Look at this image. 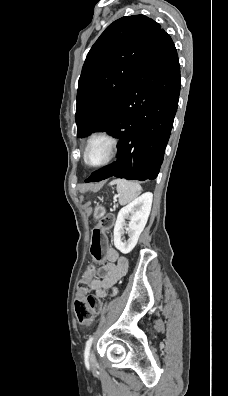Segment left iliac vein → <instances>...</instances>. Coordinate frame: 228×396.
<instances>
[{"mask_svg": "<svg viewBox=\"0 0 228 396\" xmlns=\"http://www.w3.org/2000/svg\"><path fill=\"white\" fill-rule=\"evenodd\" d=\"M89 359H90V363H91V364H94V363H95L96 360H95V356H94V353H93V352L90 353Z\"/></svg>", "mask_w": 228, "mask_h": 396, "instance_id": "obj_1", "label": "left iliac vein"}]
</instances>
